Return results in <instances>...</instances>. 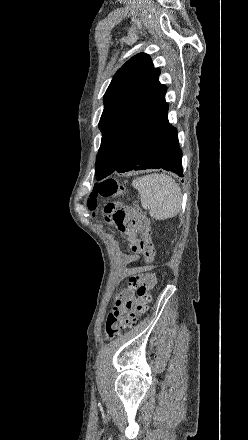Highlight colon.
<instances>
[{"mask_svg": "<svg viewBox=\"0 0 248 440\" xmlns=\"http://www.w3.org/2000/svg\"><path fill=\"white\" fill-rule=\"evenodd\" d=\"M126 190L115 179H107L95 186L88 200V207L93 210L97 204V198L111 199ZM104 212L106 219L123 233L129 231L132 223L139 224L143 229V234L138 241L137 248L144 257V272L132 276L129 279V287L136 295V301L131 298L126 299L128 314L121 316L118 310L109 313L105 322V335L112 339L119 336L124 330L136 325L138 318L143 315L151 301V290L156 284L154 273L155 247L150 236L149 218L145 211L141 209L138 202H134L133 207L117 208L112 202L108 203ZM132 217L133 221H130Z\"/></svg>", "mask_w": 248, "mask_h": 440, "instance_id": "1", "label": "colon"}]
</instances>
